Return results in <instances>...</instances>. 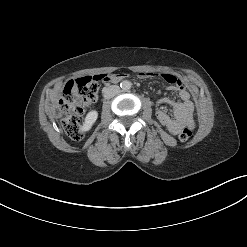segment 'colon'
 Listing matches in <instances>:
<instances>
[{
	"instance_id": "1",
	"label": "colon",
	"mask_w": 247,
	"mask_h": 247,
	"mask_svg": "<svg viewBox=\"0 0 247 247\" xmlns=\"http://www.w3.org/2000/svg\"><path fill=\"white\" fill-rule=\"evenodd\" d=\"M107 75L85 76L68 81L62 91L58 103V117L66 134L74 141L83 138L79 126V117L88 104L97 99L100 81ZM192 136V130L185 127L179 134L181 141H187Z\"/></svg>"
}]
</instances>
